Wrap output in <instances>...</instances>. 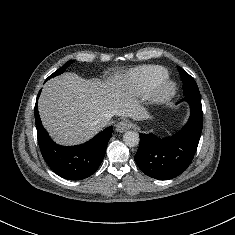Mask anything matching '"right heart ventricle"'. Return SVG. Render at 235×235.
<instances>
[{"instance_id": "e07e8e85", "label": "right heart ventricle", "mask_w": 235, "mask_h": 235, "mask_svg": "<svg viewBox=\"0 0 235 235\" xmlns=\"http://www.w3.org/2000/svg\"><path fill=\"white\" fill-rule=\"evenodd\" d=\"M168 76V71L157 65H142L131 69L127 75V83L130 88L139 95L149 93L151 88L159 80Z\"/></svg>"}]
</instances>
